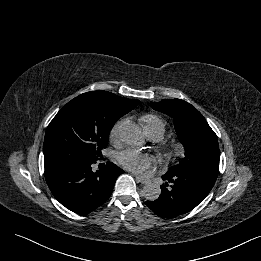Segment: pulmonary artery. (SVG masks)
<instances>
[{"label":"pulmonary artery","instance_id":"e3ab8cb5","mask_svg":"<svg viewBox=\"0 0 261 261\" xmlns=\"http://www.w3.org/2000/svg\"><path fill=\"white\" fill-rule=\"evenodd\" d=\"M150 139H151V140H157V139H159V138L154 135V136H151Z\"/></svg>","mask_w":261,"mask_h":261}]
</instances>
